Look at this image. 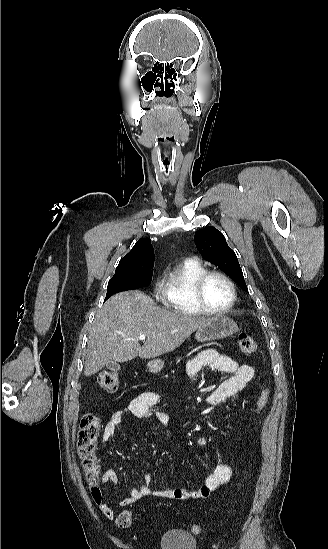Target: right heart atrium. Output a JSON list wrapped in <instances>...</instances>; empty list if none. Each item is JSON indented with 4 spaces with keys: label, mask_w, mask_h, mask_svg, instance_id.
<instances>
[{
    "label": "right heart atrium",
    "mask_w": 328,
    "mask_h": 549,
    "mask_svg": "<svg viewBox=\"0 0 328 549\" xmlns=\"http://www.w3.org/2000/svg\"><path fill=\"white\" fill-rule=\"evenodd\" d=\"M162 286H163V273L159 272L158 274H156L153 282V294L155 297H157L160 294L162 290Z\"/></svg>",
    "instance_id": "1"
}]
</instances>
